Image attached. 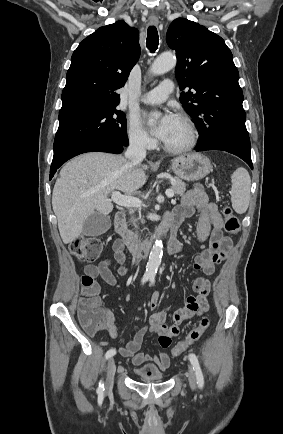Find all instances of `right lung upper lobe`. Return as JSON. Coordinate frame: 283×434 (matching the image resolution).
I'll return each instance as SVG.
<instances>
[{
  "label": "right lung upper lobe",
  "mask_w": 283,
  "mask_h": 434,
  "mask_svg": "<svg viewBox=\"0 0 283 434\" xmlns=\"http://www.w3.org/2000/svg\"><path fill=\"white\" fill-rule=\"evenodd\" d=\"M139 55V32L123 20L85 38L71 57L59 116L116 108V90L124 86Z\"/></svg>",
  "instance_id": "1"
}]
</instances>
